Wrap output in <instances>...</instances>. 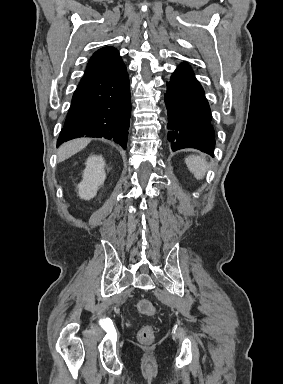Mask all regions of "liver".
Wrapping results in <instances>:
<instances>
[{"mask_svg": "<svg viewBox=\"0 0 283 384\" xmlns=\"http://www.w3.org/2000/svg\"><path fill=\"white\" fill-rule=\"evenodd\" d=\"M90 142V138H78V140H71V142L62 144L57 154L58 162H64L67 158H71V156L80 152V150H84Z\"/></svg>", "mask_w": 283, "mask_h": 384, "instance_id": "liver-1", "label": "liver"}]
</instances>
